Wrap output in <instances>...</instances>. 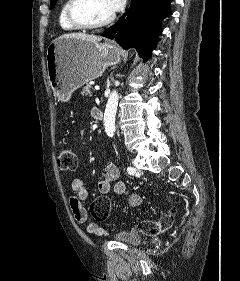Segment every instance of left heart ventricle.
I'll return each mask as SVG.
<instances>
[{
  "label": "left heart ventricle",
  "instance_id": "b2bd125f",
  "mask_svg": "<svg viewBox=\"0 0 240 281\" xmlns=\"http://www.w3.org/2000/svg\"><path fill=\"white\" fill-rule=\"evenodd\" d=\"M77 12L82 18L91 22L102 21L113 13L107 0H83Z\"/></svg>",
  "mask_w": 240,
  "mask_h": 281
}]
</instances>
